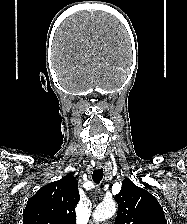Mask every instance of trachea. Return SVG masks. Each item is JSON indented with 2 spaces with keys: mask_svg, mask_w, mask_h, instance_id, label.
<instances>
[{
  "mask_svg": "<svg viewBox=\"0 0 187 224\" xmlns=\"http://www.w3.org/2000/svg\"><path fill=\"white\" fill-rule=\"evenodd\" d=\"M92 177H93V181L96 184H99L102 181V178H103V168H99V169L94 170Z\"/></svg>",
  "mask_w": 187,
  "mask_h": 224,
  "instance_id": "trachea-1",
  "label": "trachea"
}]
</instances>
